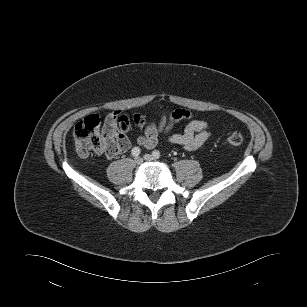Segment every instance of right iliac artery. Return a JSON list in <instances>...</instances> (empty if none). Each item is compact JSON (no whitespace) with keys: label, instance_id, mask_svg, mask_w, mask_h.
Segmentation results:
<instances>
[{"label":"right iliac artery","instance_id":"right-iliac-artery-1","mask_svg":"<svg viewBox=\"0 0 307 307\" xmlns=\"http://www.w3.org/2000/svg\"><path fill=\"white\" fill-rule=\"evenodd\" d=\"M131 153L133 156L137 157L139 156L140 154V148L139 147H134L132 150H131Z\"/></svg>","mask_w":307,"mask_h":307}]
</instances>
